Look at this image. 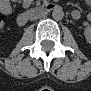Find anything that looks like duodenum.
<instances>
[{"mask_svg":"<svg viewBox=\"0 0 91 91\" xmlns=\"http://www.w3.org/2000/svg\"><path fill=\"white\" fill-rule=\"evenodd\" d=\"M57 8H58V5L55 3H45V4L33 6L18 15L17 24L19 26H24L31 19L38 17V16L45 15Z\"/></svg>","mask_w":91,"mask_h":91,"instance_id":"obj_1","label":"duodenum"}]
</instances>
